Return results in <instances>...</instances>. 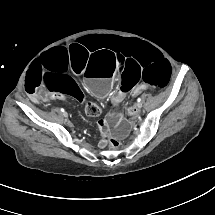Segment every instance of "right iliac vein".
Wrapping results in <instances>:
<instances>
[{"mask_svg":"<svg viewBox=\"0 0 215 215\" xmlns=\"http://www.w3.org/2000/svg\"><path fill=\"white\" fill-rule=\"evenodd\" d=\"M63 116H64V117H67L68 114H67L66 112H63Z\"/></svg>","mask_w":215,"mask_h":215,"instance_id":"1","label":"right iliac vein"}]
</instances>
